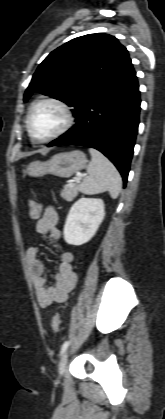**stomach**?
Masks as SVG:
<instances>
[{
	"mask_svg": "<svg viewBox=\"0 0 165 419\" xmlns=\"http://www.w3.org/2000/svg\"><path fill=\"white\" fill-rule=\"evenodd\" d=\"M86 155L80 150L63 152L52 156L48 161H34L26 168V173L33 177L52 174L68 178L82 170L86 165Z\"/></svg>",
	"mask_w": 165,
	"mask_h": 419,
	"instance_id": "1",
	"label": "stomach"
}]
</instances>
